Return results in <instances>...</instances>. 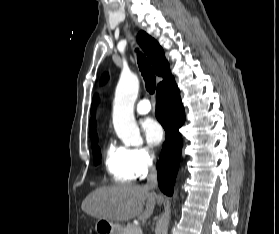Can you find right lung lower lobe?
<instances>
[{
    "label": "right lung lower lobe",
    "mask_w": 279,
    "mask_h": 234,
    "mask_svg": "<svg viewBox=\"0 0 279 234\" xmlns=\"http://www.w3.org/2000/svg\"><path fill=\"white\" fill-rule=\"evenodd\" d=\"M155 115L166 131V140L157 163L158 185L161 191L171 196L182 150L179 128L185 120L180 91L173 76L157 86Z\"/></svg>",
    "instance_id": "98d812e1"
}]
</instances>
